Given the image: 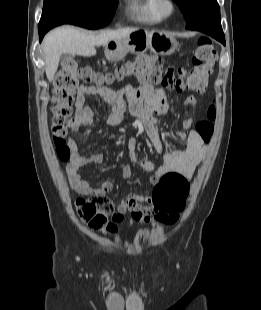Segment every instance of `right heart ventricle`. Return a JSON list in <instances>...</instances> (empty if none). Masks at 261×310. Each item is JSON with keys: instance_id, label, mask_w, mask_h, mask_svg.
<instances>
[{"instance_id": "1", "label": "right heart ventricle", "mask_w": 261, "mask_h": 310, "mask_svg": "<svg viewBox=\"0 0 261 310\" xmlns=\"http://www.w3.org/2000/svg\"><path fill=\"white\" fill-rule=\"evenodd\" d=\"M127 11L131 19L141 24L153 25L163 20L157 9V0H130Z\"/></svg>"}]
</instances>
